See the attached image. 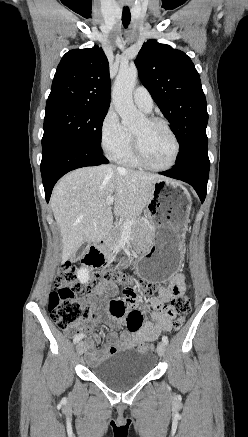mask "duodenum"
I'll return each instance as SVG.
<instances>
[{
	"label": "duodenum",
	"instance_id": "duodenum-1",
	"mask_svg": "<svg viewBox=\"0 0 248 437\" xmlns=\"http://www.w3.org/2000/svg\"><path fill=\"white\" fill-rule=\"evenodd\" d=\"M104 241L99 243L98 245L91 247V249L87 252V254L84 257L85 262H90L91 260L102 256V247H103Z\"/></svg>",
	"mask_w": 248,
	"mask_h": 437
}]
</instances>
